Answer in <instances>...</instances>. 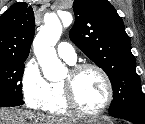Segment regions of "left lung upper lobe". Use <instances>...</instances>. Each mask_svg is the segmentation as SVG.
<instances>
[{
  "label": "left lung upper lobe",
  "instance_id": "5c2ea615",
  "mask_svg": "<svg viewBox=\"0 0 145 124\" xmlns=\"http://www.w3.org/2000/svg\"><path fill=\"white\" fill-rule=\"evenodd\" d=\"M75 24L69 36L110 78V115L145 118V100L122 18L107 0H75Z\"/></svg>",
  "mask_w": 145,
  "mask_h": 124
}]
</instances>
